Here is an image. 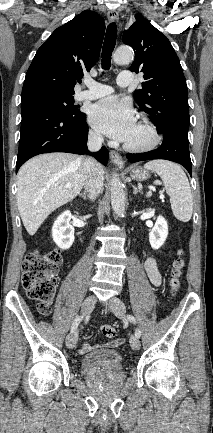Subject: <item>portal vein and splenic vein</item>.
Instances as JSON below:
<instances>
[{
  "label": "portal vein and splenic vein",
  "mask_w": 213,
  "mask_h": 433,
  "mask_svg": "<svg viewBox=\"0 0 213 433\" xmlns=\"http://www.w3.org/2000/svg\"><path fill=\"white\" fill-rule=\"evenodd\" d=\"M67 186H69V185H67ZM149 189L155 191V188H154L153 186H150ZM149 196H151V192H148V193H147V197H149ZM160 198L163 199L164 196H163V195H160Z\"/></svg>",
  "instance_id": "1"
}]
</instances>
